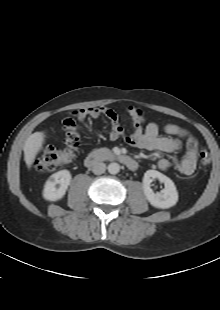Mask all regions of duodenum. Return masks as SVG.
<instances>
[{
    "label": "duodenum",
    "mask_w": 220,
    "mask_h": 310,
    "mask_svg": "<svg viewBox=\"0 0 220 310\" xmlns=\"http://www.w3.org/2000/svg\"><path fill=\"white\" fill-rule=\"evenodd\" d=\"M102 161H117L127 167L130 171H135L138 167L137 162L130 156L112 152L107 149H99L89 153L84 158L86 167H93Z\"/></svg>",
    "instance_id": "410a0bca"
}]
</instances>
